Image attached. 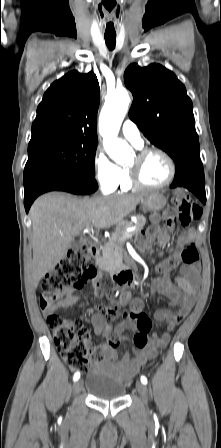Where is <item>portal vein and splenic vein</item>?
I'll use <instances>...</instances> for the list:
<instances>
[{"mask_svg": "<svg viewBox=\"0 0 221 448\" xmlns=\"http://www.w3.org/2000/svg\"><path fill=\"white\" fill-rule=\"evenodd\" d=\"M131 236L130 232H126L125 235L123 236L124 239H128Z\"/></svg>", "mask_w": 221, "mask_h": 448, "instance_id": "portal-vein-and-splenic-vein-1", "label": "portal vein and splenic vein"}]
</instances>
